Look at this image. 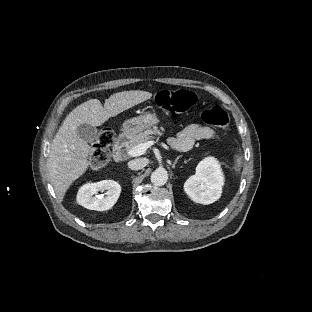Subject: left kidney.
<instances>
[{
	"mask_svg": "<svg viewBox=\"0 0 312 312\" xmlns=\"http://www.w3.org/2000/svg\"><path fill=\"white\" fill-rule=\"evenodd\" d=\"M223 175L213 158L203 160L196 168V174L184 184L186 194L196 203L211 204L221 195Z\"/></svg>",
	"mask_w": 312,
	"mask_h": 312,
	"instance_id": "5707ae66",
	"label": "left kidney"
}]
</instances>
